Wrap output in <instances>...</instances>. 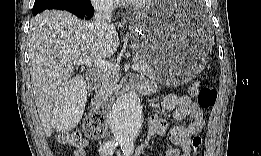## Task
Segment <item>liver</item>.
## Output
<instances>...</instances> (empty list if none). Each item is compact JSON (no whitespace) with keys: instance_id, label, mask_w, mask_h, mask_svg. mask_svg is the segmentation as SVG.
<instances>
[{"instance_id":"1","label":"liver","mask_w":261,"mask_h":156,"mask_svg":"<svg viewBox=\"0 0 261 156\" xmlns=\"http://www.w3.org/2000/svg\"><path fill=\"white\" fill-rule=\"evenodd\" d=\"M119 46L116 27L109 25L103 35H96L90 22L67 11L50 10L36 15L28 32L29 65L34 99L47 137L74 128L84 111V98L72 92L73 118L59 117L68 100V80L74 74L75 60L103 59Z\"/></svg>"}]
</instances>
